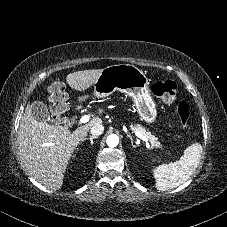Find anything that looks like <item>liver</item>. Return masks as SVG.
Here are the masks:
<instances>
[{
	"label": "liver",
	"mask_w": 227,
	"mask_h": 227,
	"mask_svg": "<svg viewBox=\"0 0 227 227\" xmlns=\"http://www.w3.org/2000/svg\"><path fill=\"white\" fill-rule=\"evenodd\" d=\"M101 72L102 69L77 71L68 74L66 82L72 89L83 92L94 84ZM99 123L102 120L96 116L71 132L66 126L36 120L28 104L20 122L17 142L21 161L29 175L43 186L59 190L74 150L85 140L89 129Z\"/></svg>",
	"instance_id": "1"
}]
</instances>
